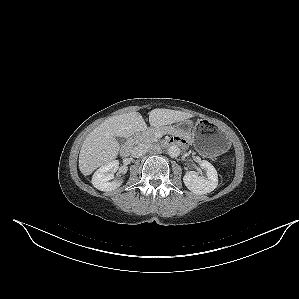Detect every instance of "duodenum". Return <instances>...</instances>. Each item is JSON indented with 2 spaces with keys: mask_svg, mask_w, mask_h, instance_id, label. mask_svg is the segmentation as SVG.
<instances>
[{
  "mask_svg": "<svg viewBox=\"0 0 299 299\" xmlns=\"http://www.w3.org/2000/svg\"><path fill=\"white\" fill-rule=\"evenodd\" d=\"M179 142H181L180 138H178V137H173V138H171L167 143H168V144H176V143H179ZM133 145H134V139L131 138V139H129V140L122 146V148H121V150H120V154H121V156H123V157L128 156L129 153H130V151H131V149H132V147H133Z\"/></svg>",
  "mask_w": 299,
  "mask_h": 299,
  "instance_id": "duodenum-1",
  "label": "duodenum"
}]
</instances>
